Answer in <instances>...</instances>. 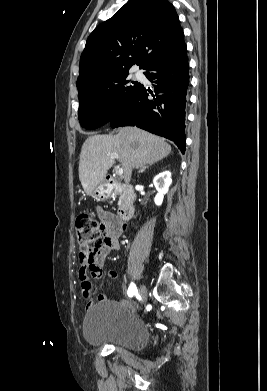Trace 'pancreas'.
<instances>
[{
	"mask_svg": "<svg viewBox=\"0 0 267 391\" xmlns=\"http://www.w3.org/2000/svg\"><path fill=\"white\" fill-rule=\"evenodd\" d=\"M121 201H122V196H121L120 199H119L118 205L121 204Z\"/></svg>",
	"mask_w": 267,
	"mask_h": 391,
	"instance_id": "1",
	"label": "pancreas"
}]
</instances>
